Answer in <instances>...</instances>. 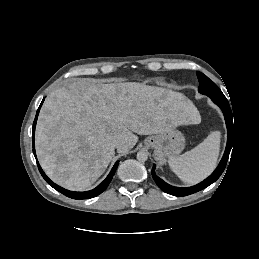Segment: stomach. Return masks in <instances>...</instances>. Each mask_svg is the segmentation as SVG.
<instances>
[{
  "label": "stomach",
  "instance_id": "obj_1",
  "mask_svg": "<svg viewBox=\"0 0 259 259\" xmlns=\"http://www.w3.org/2000/svg\"><path fill=\"white\" fill-rule=\"evenodd\" d=\"M145 145L154 149V157L157 161H164L166 158L176 157L185 146L183 134L175 129L149 136L145 139Z\"/></svg>",
  "mask_w": 259,
  "mask_h": 259
}]
</instances>
